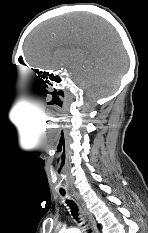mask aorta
Returning <instances> with one entry per match:
<instances>
[{
	"label": "aorta",
	"mask_w": 148,
	"mask_h": 233,
	"mask_svg": "<svg viewBox=\"0 0 148 233\" xmlns=\"http://www.w3.org/2000/svg\"><path fill=\"white\" fill-rule=\"evenodd\" d=\"M60 233H80V230L77 228H69L62 230Z\"/></svg>",
	"instance_id": "1"
}]
</instances>
